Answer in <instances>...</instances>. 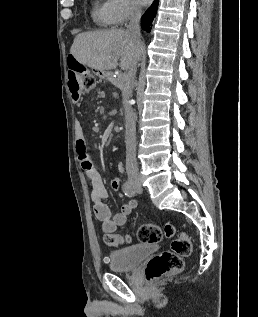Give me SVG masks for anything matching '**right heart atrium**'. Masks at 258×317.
<instances>
[{"instance_id":"d8ad5b80","label":"right heart atrium","mask_w":258,"mask_h":317,"mask_svg":"<svg viewBox=\"0 0 258 317\" xmlns=\"http://www.w3.org/2000/svg\"><path fill=\"white\" fill-rule=\"evenodd\" d=\"M138 8L133 0H110L109 17L110 25L123 26L135 15Z\"/></svg>"}]
</instances>
